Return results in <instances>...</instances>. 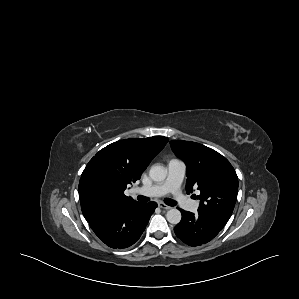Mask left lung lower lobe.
<instances>
[{
	"instance_id": "1",
	"label": "left lung lower lobe",
	"mask_w": 299,
	"mask_h": 299,
	"mask_svg": "<svg viewBox=\"0 0 299 299\" xmlns=\"http://www.w3.org/2000/svg\"><path fill=\"white\" fill-rule=\"evenodd\" d=\"M181 221L174 231L178 238L190 246H198L212 240L224 227L210 216L198 211L197 214L179 209Z\"/></svg>"
}]
</instances>
